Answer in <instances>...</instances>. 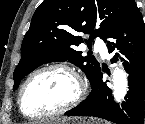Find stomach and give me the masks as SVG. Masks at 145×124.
I'll return each instance as SVG.
<instances>
[{"label": "stomach", "mask_w": 145, "mask_h": 124, "mask_svg": "<svg viewBox=\"0 0 145 124\" xmlns=\"http://www.w3.org/2000/svg\"><path fill=\"white\" fill-rule=\"evenodd\" d=\"M43 124H103L100 122H97L93 119H70V118H56V119H50Z\"/></svg>", "instance_id": "stomach-1"}]
</instances>
